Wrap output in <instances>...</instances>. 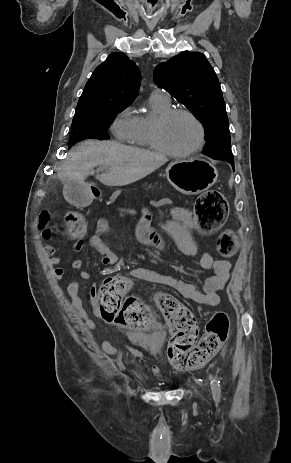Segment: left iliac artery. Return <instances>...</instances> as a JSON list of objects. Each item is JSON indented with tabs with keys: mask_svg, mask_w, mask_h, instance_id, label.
I'll return each mask as SVG.
<instances>
[{
	"mask_svg": "<svg viewBox=\"0 0 291 463\" xmlns=\"http://www.w3.org/2000/svg\"><path fill=\"white\" fill-rule=\"evenodd\" d=\"M211 389L213 393V398L215 401H219L220 399V381L218 378H212L211 381Z\"/></svg>",
	"mask_w": 291,
	"mask_h": 463,
	"instance_id": "44dca946",
	"label": "left iliac artery"
}]
</instances>
